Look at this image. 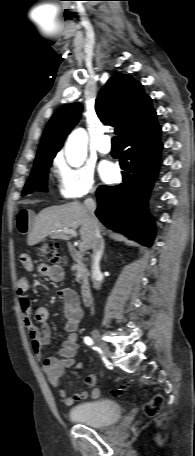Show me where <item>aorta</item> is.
I'll list each match as a JSON object with an SVG mask.
<instances>
[{"mask_svg":"<svg viewBox=\"0 0 195 456\" xmlns=\"http://www.w3.org/2000/svg\"><path fill=\"white\" fill-rule=\"evenodd\" d=\"M87 132L78 128L74 130L68 137L65 153L67 162L72 167H80L84 163L87 156Z\"/></svg>","mask_w":195,"mask_h":456,"instance_id":"obj_1","label":"aorta"}]
</instances>
